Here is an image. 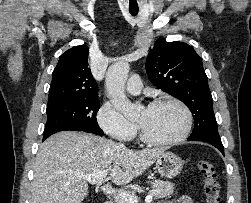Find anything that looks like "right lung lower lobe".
Instances as JSON below:
<instances>
[{"label":"right lung lower lobe","mask_w":251,"mask_h":203,"mask_svg":"<svg viewBox=\"0 0 251 203\" xmlns=\"http://www.w3.org/2000/svg\"><path fill=\"white\" fill-rule=\"evenodd\" d=\"M73 131H82V130H78V129H75ZM54 134V133H53ZM50 135L52 134H46V135H43V140H45L47 137H49Z\"/></svg>","instance_id":"1"}]
</instances>
